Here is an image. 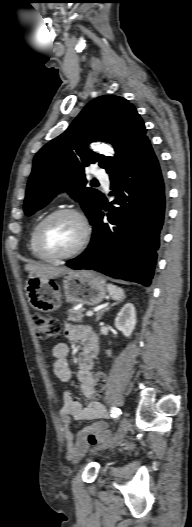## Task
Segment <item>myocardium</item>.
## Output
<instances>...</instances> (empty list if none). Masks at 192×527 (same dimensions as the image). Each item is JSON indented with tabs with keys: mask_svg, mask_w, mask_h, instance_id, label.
Wrapping results in <instances>:
<instances>
[{
	"mask_svg": "<svg viewBox=\"0 0 192 527\" xmlns=\"http://www.w3.org/2000/svg\"><path fill=\"white\" fill-rule=\"evenodd\" d=\"M62 215H72L75 216L81 223L82 226V236L77 244V246L68 253L55 255L49 253L43 245V233L46 227L53 221L55 218ZM91 225L87 216L79 209L74 207H63L58 208L50 212L38 225L35 233V247L39 256L46 261L50 262H59L67 259H71L78 254H80L88 245L91 238Z\"/></svg>",
	"mask_w": 192,
	"mask_h": 527,
	"instance_id": "f54148a6",
	"label": "myocardium"
}]
</instances>
